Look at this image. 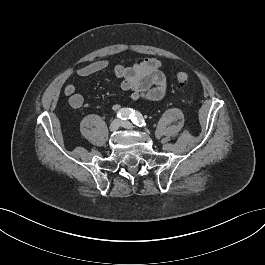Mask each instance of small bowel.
<instances>
[{"instance_id":"c3829d8e","label":"small bowel","mask_w":265,"mask_h":265,"mask_svg":"<svg viewBox=\"0 0 265 265\" xmlns=\"http://www.w3.org/2000/svg\"><path fill=\"white\" fill-rule=\"evenodd\" d=\"M109 67L108 61L98 60L80 67L77 74L81 77H88ZM161 68L162 64L158 59L146 58L131 66L116 65L113 67V74L121 80V89L131 92V101L135 102L140 99L158 101L164 97L167 90L166 77ZM63 91L72 108L79 109L83 106V96L77 92L75 84H65ZM119 108L118 104L112 106L114 111Z\"/></svg>"}]
</instances>
